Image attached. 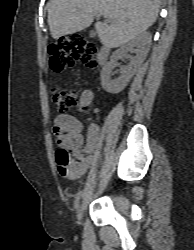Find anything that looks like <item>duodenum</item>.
<instances>
[{"label": "duodenum", "mask_w": 194, "mask_h": 250, "mask_svg": "<svg viewBox=\"0 0 194 250\" xmlns=\"http://www.w3.org/2000/svg\"><path fill=\"white\" fill-rule=\"evenodd\" d=\"M108 55H109V48L106 46H102L100 48L99 56H98L99 64H104L108 59Z\"/></svg>", "instance_id": "410a0bca"}]
</instances>
